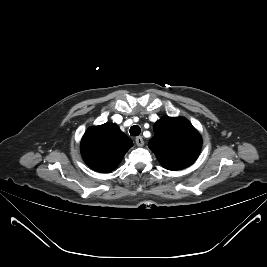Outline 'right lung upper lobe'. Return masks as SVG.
<instances>
[{
  "instance_id": "right-lung-upper-lobe-1",
  "label": "right lung upper lobe",
  "mask_w": 267,
  "mask_h": 267,
  "mask_svg": "<svg viewBox=\"0 0 267 267\" xmlns=\"http://www.w3.org/2000/svg\"><path fill=\"white\" fill-rule=\"evenodd\" d=\"M132 145V140L116 124L105 123L85 132L81 154L90 168L108 173L119 165Z\"/></svg>"
}]
</instances>
